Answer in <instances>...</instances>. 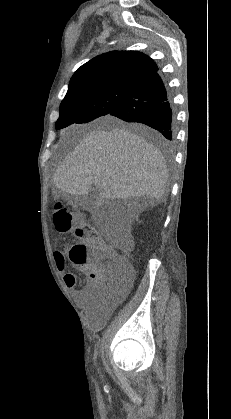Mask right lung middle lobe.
Returning a JSON list of instances; mask_svg holds the SVG:
<instances>
[{"label":"right lung middle lobe","instance_id":"right-lung-middle-lobe-1","mask_svg":"<svg viewBox=\"0 0 231 419\" xmlns=\"http://www.w3.org/2000/svg\"><path fill=\"white\" fill-rule=\"evenodd\" d=\"M133 86L103 85L76 90L63 99L57 130L73 123H87L109 114L132 91Z\"/></svg>","mask_w":231,"mask_h":419}]
</instances>
